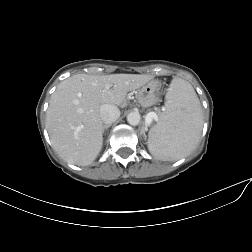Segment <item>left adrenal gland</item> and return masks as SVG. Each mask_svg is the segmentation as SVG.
<instances>
[{
	"mask_svg": "<svg viewBox=\"0 0 252 252\" xmlns=\"http://www.w3.org/2000/svg\"><path fill=\"white\" fill-rule=\"evenodd\" d=\"M144 139H146V134L143 132Z\"/></svg>",
	"mask_w": 252,
	"mask_h": 252,
	"instance_id": "1",
	"label": "left adrenal gland"
}]
</instances>
